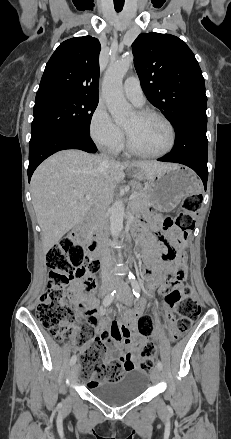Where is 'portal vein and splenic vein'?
<instances>
[{"instance_id":"18ae733b","label":"portal vein and splenic vein","mask_w":231,"mask_h":439,"mask_svg":"<svg viewBox=\"0 0 231 439\" xmlns=\"http://www.w3.org/2000/svg\"><path fill=\"white\" fill-rule=\"evenodd\" d=\"M135 197H136V195H134V194L131 195V196H130V200L134 199ZM86 198H89V196H86Z\"/></svg>"}]
</instances>
